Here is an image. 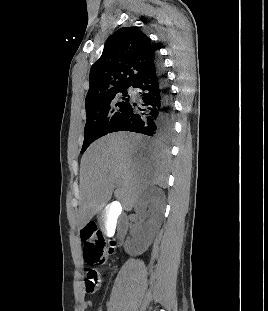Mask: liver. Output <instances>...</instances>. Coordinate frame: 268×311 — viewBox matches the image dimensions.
<instances>
[{
	"instance_id": "6515ba94",
	"label": "liver",
	"mask_w": 268,
	"mask_h": 311,
	"mask_svg": "<svg viewBox=\"0 0 268 311\" xmlns=\"http://www.w3.org/2000/svg\"><path fill=\"white\" fill-rule=\"evenodd\" d=\"M169 163L167 151L141 135L118 132L95 141L81 159L78 226L98 214L113 193L131 211L149 186L166 188Z\"/></svg>"
}]
</instances>
